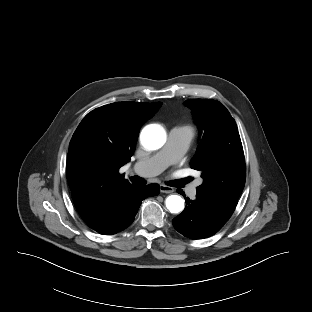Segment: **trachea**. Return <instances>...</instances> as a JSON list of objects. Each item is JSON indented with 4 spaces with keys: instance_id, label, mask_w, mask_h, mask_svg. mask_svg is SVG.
Segmentation results:
<instances>
[{
    "instance_id": "1",
    "label": "trachea",
    "mask_w": 312,
    "mask_h": 312,
    "mask_svg": "<svg viewBox=\"0 0 312 312\" xmlns=\"http://www.w3.org/2000/svg\"><path fill=\"white\" fill-rule=\"evenodd\" d=\"M130 180H131L132 183H136V184H145L146 183V181L143 178L139 177V176H133V177L130 178ZM191 180H192V177H188V178L184 179L182 181V185L190 182Z\"/></svg>"
}]
</instances>
